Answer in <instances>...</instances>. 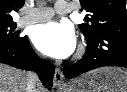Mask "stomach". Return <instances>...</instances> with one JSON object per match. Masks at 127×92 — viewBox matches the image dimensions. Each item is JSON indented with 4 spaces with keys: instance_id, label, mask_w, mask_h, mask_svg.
Here are the masks:
<instances>
[{
    "instance_id": "0dacf381",
    "label": "stomach",
    "mask_w": 127,
    "mask_h": 92,
    "mask_svg": "<svg viewBox=\"0 0 127 92\" xmlns=\"http://www.w3.org/2000/svg\"><path fill=\"white\" fill-rule=\"evenodd\" d=\"M62 92H127V71L99 68L74 79Z\"/></svg>"
}]
</instances>
